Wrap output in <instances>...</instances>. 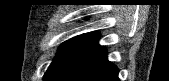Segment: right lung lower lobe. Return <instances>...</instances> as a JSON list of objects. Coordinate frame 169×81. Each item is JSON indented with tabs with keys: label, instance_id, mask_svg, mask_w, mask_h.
<instances>
[{
	"label": "right lung lower lobe",
	"instance_id": "right-lung-lower-lobe-1",
	"mask_svg": "<svg viewBox=\"0 0 169 81\" xmlns=\"http://www.w3.org/2000/svg\"><path fill=\"white\" fill-rule=\"evenodd\" d=\"M97 33L65 42L44 75V81H119L118 68L107 60Z\"/></svg>",
	"mask_w": 169,
	"mask_h": 81
}]
</instances>
